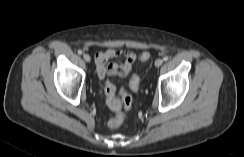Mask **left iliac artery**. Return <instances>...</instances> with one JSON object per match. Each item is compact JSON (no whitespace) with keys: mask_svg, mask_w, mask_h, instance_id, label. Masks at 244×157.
<instances>
[{"mask_svg":"<svg viewBox=\"0 0 244 157\" xmlns=\"http://www.w3.org/2000/svg\"><path fill=\"white\" fill-rule=\"evenodd\" d=\"M163 60H164V61H168V60H169V57H168V56H165V57L163 58Z\"/></svg>","mask_w":244,"mask_h":157,"instance_id":"44dca946","label":"left iliac artery"}]
</instances>
